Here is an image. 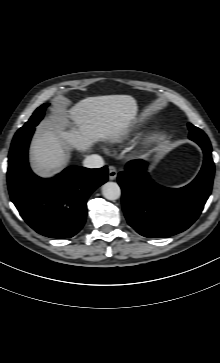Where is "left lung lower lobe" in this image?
<instances>
[{
	"instance_id": "1",
	"label": "left lung lower lobe",
	"mask_w": 220,
	"mask_h": 363,
	"mask_svg": "<svg viewBox=\"0 0 220 363\" xmlns=\"http://www.w3.org/2000/svg\"><path fill=\"white\" fill-rule=\"evenodd\" d=\"M191 140L202 148L204 163L185 187L170 189L154 184L141 160L128 162L118 174L126 219L139 234L150 238L175 235L191 226L202 212L212 189L214 162L209 139Z\"/></svg>"
}]
</instances>
